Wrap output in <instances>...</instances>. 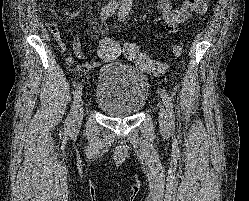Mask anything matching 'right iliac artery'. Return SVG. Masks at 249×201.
I'll use <instances>...</instances> for the list:
<instances>
[{"mask_svg":"<svg viewBox=\"0 0 249 201\" xmlns=\"http://www.w3.org/2000/svg\"><path fill=\"white\" fill-rule=\"evenodd\" d=\"M120 2L123 3L124 0L113 1V2H110L108 5H106L101 11L100 20L102 22H104L108 17L113 15L115 13V11L118 9ZM82 88H83L82 84H80V83L77 84L75 92H74V100L72 103V107H71L70 113L65 121V130L66 131H69L73 126V120H74L76 108H77V105H78L80 98H81V95H82Z\"/></svg>","mask_w":249,"mask_h":201,"instance_id":"right-iliac-artery-1","label":"right iliac artery"}]
</instances>
